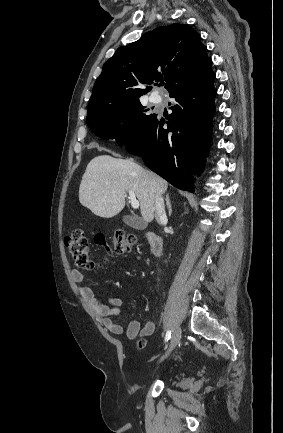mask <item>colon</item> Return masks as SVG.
<instances>
[{"mask_svg": "<svg viewBox=\"0 0 283 433\" xmlns=\"http://www.w3.org/2000/svg\"><path fill=\"white\" fill-rule=\"evenodd\" d=\"M96 241L105 248L107 253H124L133 244L134 237L122 231H117L113 236L111 244H108L103 236L97 237ZM65 246L74 263L79 268L91 270L98 266V263L91 258L88 238L81 229H74L72 231L65 240ZM144 346V340L140 339L137 341L139 349L144 348Z\"/></svg>", "mask_w": 283, "mask_h": 433, "instance_id": "obj_1", "label": "colon"}]
</instances>
